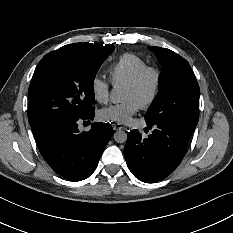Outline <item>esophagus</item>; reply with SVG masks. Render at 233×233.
Returning a JSON list of instances; mask_svg holds the SVG:
<instances>
[{
    "label": "esophagus",
    "mask_w": 233,
    "mask_h": 233,
    "mask_svg": "<svg viewBox=\"0 0 233 233\" xmlns=\"http://www.w3.org/2000/svg\"><path fill=\"white\" fill-rule=\"evenodd\" d=\"M112 127H113V130L115 131L123 129V126L120 123H113Z\"/></svg>",
    "instance_id": "34e87169"
}]
</instances>
